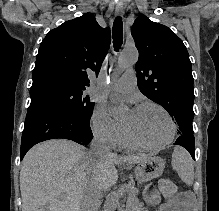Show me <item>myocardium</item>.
Segmentation results:
<instances>
[{"instance_id": "f54148a6", "label": "myocardium", "mask_w": 219, "mask_h": 211, "mask_svg": "<svg viewBox=\"0 0 219 211\" xmlns=\"http://www.w3.org/2000/svg\"><path fill=\"white\" fill-rule=\"evenodd\" d=\"M145 106L157 107L166 115V117L169 121V125H170V134H169L168 138L164 142L159 143V144H146V143H143L140 140H138L136 137H134L131 134V132L128 130L126 125L123 123L125 137L133 146H135L137 148L146 149V150H158V149L165 148L170 143H172V141L174 140L175 135H176V124L174 122V119H173L172 115L170 114V112L163 105H161L157 102H154V101L141 102L136 106V108H141V107H145Z\"/></svg>"}]
</instances>
